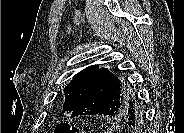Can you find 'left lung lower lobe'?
Instances as JSON below:
<instances>
[{"mask_svg":"<svg viewBox=\"0 0 184 133\" xmlns=\"http://www.w3.org/2000/svg\"><path fill=\"white\" fill-rule=\"evenodd\" d=\"M138 95L134 86L124 82L108 69H97L95 81L88 95L72 111V116L104 115L120 118L131 127H138L132 111Z\"/></svg>","mask_w":184,"mask_h":133,"instance_id":"0a47b994","label":"left lung lower lobe"}]
</instances>
